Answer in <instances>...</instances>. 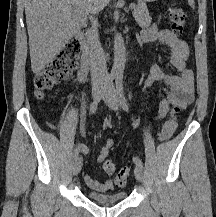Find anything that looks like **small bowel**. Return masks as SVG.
<instances>
[{
    "mask_svg": "<svg viewBox=\"0 0 216 217\" xmlns=\"http://www.w3.org/2000/svg\"><path fill=\"white\" fill-rule=\"evenodd\" d=\"M139 36L142 37L144 42L154 41L158 38L168 48L169 63L177 72V74L167 73L158 63H155L151 68L150 74L144 81V88L151 87L155 84L161 87L158 92L159 110L155 120H163L169 117L175 108L183 110L194 100V73L189 67V46L183 39L179 38L169 29H159L156 24L144 30ZM78 77L80 81H85L86 73L79 71ZM113 145V139L108 138L97 157V163L104 165L106 161L110 160L109 154ZM77 148L83 154L89 153L88 147L83 143L78 142ZM84 180L90 188L100 192L109 191L113 187V181L111 179L98 181L87 174L84 176Z\"/></svg>",
    "mask_w": 216,
    "mask_h": 217,
    "instance_id": "obj_1",
    "label": "small bowel"
}]
</instances>
